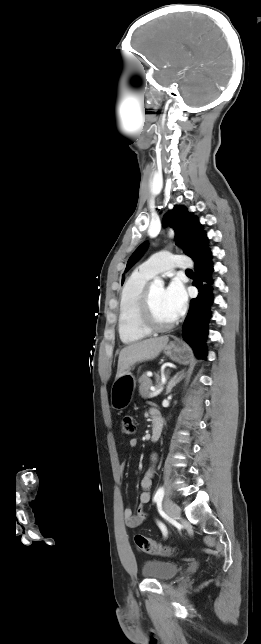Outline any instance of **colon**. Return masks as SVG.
<instances>
[{
  "mask_svg": "<svg viewBox=\"0 0 261 644\" xmlns=\"http://www.w3.org/2000/svg\"><path fill=\"white\" fill-rule=\"evenodd\" d=\"M121 431L124 435L127 436H131L136 432L135 421L131 415H125L122 418ZM134 543L140 551L147 554L169 555L172 552L170 548L165 547L155 540L141 534H136L134 536Z\"/></svg>",
  "mask_w": 261,
  "mask_h": 644,
  "instance_id": "colon-1",
  "label": "colon"
}]
</instances>
